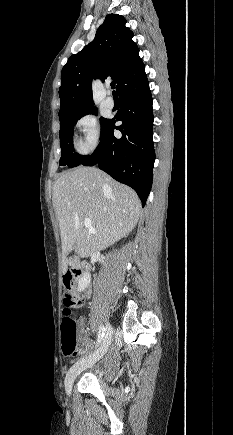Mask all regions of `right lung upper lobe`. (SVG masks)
I'll use <instances>...</instances> for the list:
<instances>
[{
    "mask_svg": "<svg viewBox=\"0 0 233 435\" xmlns=\"http://www.w3.org/2000/svg\"><path fill=\"white\" fill-rule=\"evenodd\" d=\"M125 24L123 16L108 14L93 42L70 56L61 72L59 118L96 108L93 78L104 81L110 76L119 93L124 84L145 72L138 46L132 41L133 32Z\"/></svg>",
    "mask_w": 233,
    "mask_h": 435,
    "instance_id": "cb5924a9",
    "label": "right lung upper lobe"
}]
</instances>
